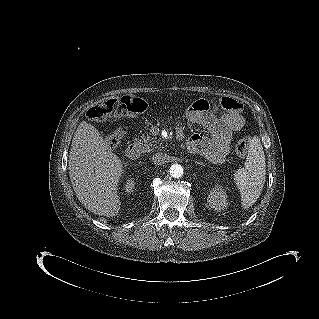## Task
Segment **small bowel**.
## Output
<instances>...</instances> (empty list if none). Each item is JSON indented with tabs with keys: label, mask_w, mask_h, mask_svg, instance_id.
<instances>
[{
	"label": "small bowel",
	"mask_w": 319,
	"mask_h": 319,
	"mask_svg": "<svg viewBox=\"0 0 319 319\" xmlns=\"http://www.w3.org/2000/svg\"><path fill=\"white\" fill-rule=\"evenodd\" d=\"M244 125V119L239 113H228L217 117L211 114L204 123L210 132V137L196 133L187 141V148L193 153L201 152L212 162H222L230 151L232 134L240 130ZM182 129L177 128V135Z\"/></svg>",
	"instance_id": "small-bowel-1"
}]
</instances>
